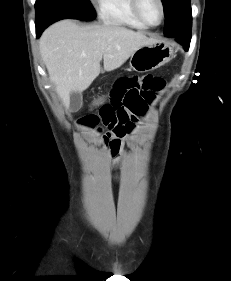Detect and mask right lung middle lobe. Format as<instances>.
Segmentation results:
<instances>
[{
	"instance_id": "right-lung-middle-lobe-1",
	"label": "right lung middle lobe",
	"mask_w": 231,
	"mask_h": 281,
	"mask_svg": "<svg viewBox=\"0 0 231 281\" xmlns=\"http://www.w3.org/2000/svg\"><path fill=\"white\" fill-rule=\"evenodd\" d=\"M52 9L63 10L68 18L72 19H95V11L89 0H36V19H40Z\"/></svg>"
}]
</instances>
